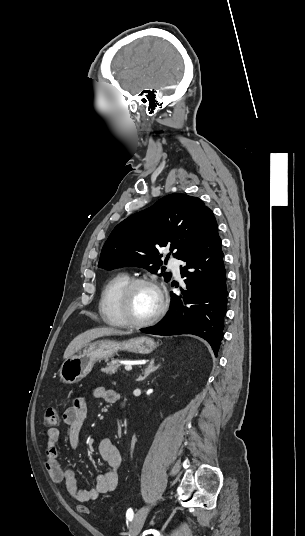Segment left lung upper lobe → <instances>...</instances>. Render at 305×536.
<instances>
[{
    "mask_svg": "<svg viewBox=\"0 0 305 536\" xmlns=\"http://www.w3.org/2000/svg\"><path fill=\"white\" fill-rule=\"evenodd\" d=\"M216 228L212 211L198 197L170 194L119 223L102 248L98 266L108 270L136 266L157 273L161 247H170L173 256L183 260ZM163 276L171 279L170 273Z\"/></svg>",
    "mask_w": 305,
    "mask_h": 536,
    "instance_id": "left-lung-upper-lobe-1",
    "label": "left lung upper lobe"
}]
</instances>
